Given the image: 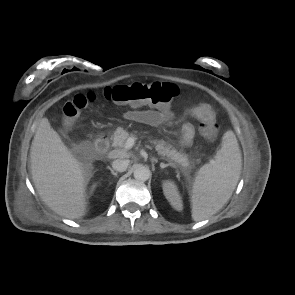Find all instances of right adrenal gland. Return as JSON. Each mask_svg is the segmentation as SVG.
<instances>
[{
  "instance_id": "1",
  "label": "right adrenal gland",
  "mask_w": 295,
  "mask_h": 295,
  "mask_svg": "<svg viewBox=\"0 0 295 295\" xmlns=\"http://www.w3.org/2000/svg\"><path fill=\"white\" fill-rule=\"evenodd\" d=\"M107 169L110 170V172L112 173V175H114V176H117L118 175V173L115 172L110 166H107Z\"/></svg>"
}]
</instances>
